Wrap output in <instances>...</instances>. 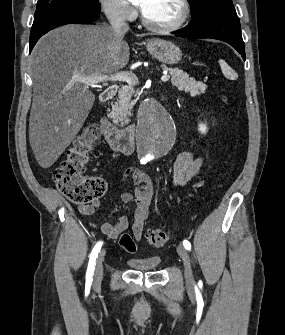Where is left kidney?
I'll use <instances>...</instances> for the list:
<instances>
[{
    "instance_id": "5707ae66",
    "label": "left kidney",
    "mask_w": 285,
    "mask_h": 335,
    "mask_svg": "<svg viewBox=\"0 0 285 335\" xmlns=\"http://www.w3.org/2000/svg\"><path fill=\"white\" fill-rule=\"evenodd\" d=\"M199 132H201V134H206L207 132L206 124H199Z\"/></svg>"
}]
</instances>
